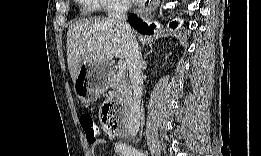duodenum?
Listing matches in <instances>:
<instances>
[{
  "mask_svg": "<svg viewBox=\"0 0 261 156\" xmlns=\"http://www.w3.org/2000/svg\"><path fill=\"white\" fill-rule=\"evenodd\" d=\"M108 101H111L110 104H112L113 106H117V107L121 108L123 110V112L127 114V112H128V101L113 99V98H109ZM129 126H130V124L128 122V128H129Z\"/></svg>",
  "mask_w": 261,
  "mask_h": 156,
  "instance_id": "1",
  "label": "duodenum"
}]
</instances>
